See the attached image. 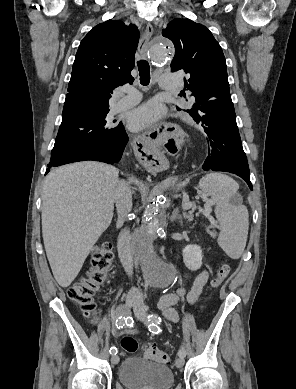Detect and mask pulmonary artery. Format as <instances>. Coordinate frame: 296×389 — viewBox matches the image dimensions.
<instances>
[{
  "mask_svg": "<svg viewBox=\"0 0 296 389\" xmlns=\"http://www.w3.org/2000/svg\"><path fill=\"white\" fill-rule=\"evenodd\" d=\"M160 86L167 90H176L179 88V81L171 74H164L160 77ZM126 95L123 96L117 103V110H124L136 105L141 96L139 92L134 88H128L125 90Z\"/></svg>",
  "mask_w": 296,
  "mask_h": 389,
  "instance_id": "e3ab8cb5",
  "label": "pulmonary artery"
}]
</instances>
